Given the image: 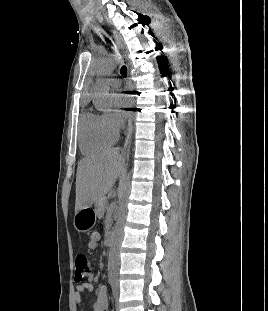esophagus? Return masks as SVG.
<instances>
[{
    "label": "esophagus",
    "mask_w": 268,
    "mask_h": 311,
    "mask_svg": "<svg viewBox=\"0 0 268 311\" xmlns=\"http://www.w3.org/2000/svg\"><path fill=\"white\" fill-rule=\"evenodd\" d=\"M116 40H117V42L120 45V41H119V39L117 37H116ZM127 76H128V79H130L129 68H128ZM130 90L132 92V95H137L136 85H131V89ZM132 132H133V115H131L129 120H128L127 133H126V138H125V142H124V149H126L128 147V145L130 144Z\"/></svg>",
    "instance_id": "1"
}]
</instances>
